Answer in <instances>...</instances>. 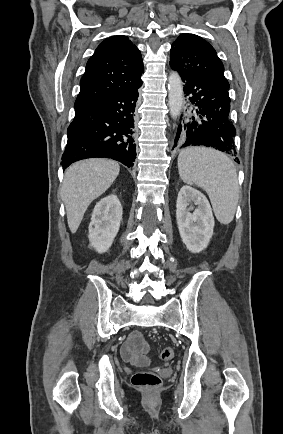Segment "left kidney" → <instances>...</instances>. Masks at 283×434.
Segmentation results:
<instances>
[{
	"instance_id": "5707ae66",
	"label": "left kidney",
	"mask_w": 283,
	"mask_h": 434,
	"mask_svg": "<svg viewBox=\"0 0 283 434\" xmlns=\"http://www.w3.org/2000/svg\"><path fill=\"white\" fill-rule=\"evenodd\" d=\"M194 203L197 208L190 213ZM176 220L180 236L187 249L192 253H199L204 250L213 236L214 217L211 206L200 191L183 186L177 198Z\"/></svg>"
}]
</instances>
